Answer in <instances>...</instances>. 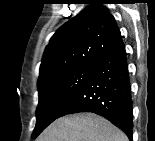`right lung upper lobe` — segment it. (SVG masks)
<instances>
[{"label":"right lung upper lobe","mask_w":155,"mask_h":141,"mask_svg":"<svg viewBox=\"0 0 155 141\" xmlns=\"http://www.w3.org/2000/svg\"><path fill=\"white\" fill-rule=\"evenodd\" d=\"M103 3H91L61 26L47 45L38 84L75 68H94L121 38L115 18Z\"/></svg>","instance_id":"right-lung-upper-lobe-1"}]
</instances>
